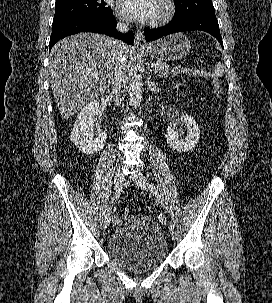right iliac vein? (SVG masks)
Listing matches in <instances>:
<instances>
[{
	"label": "right iliac vein",
	"instance_id": "obj_1",
	"mask_svg": "<svg viewBox=\"0 0 272 303\" xmlns=\"http://www.w3.org/2000/svg\"><path fill=\"white\" fill-rule=\"evenodd\" d=\"M114 181H115V189L117 190L119 187L122 186L123 181H124V175H123L120 167L117 168V170L115 172ZM110 221H111V217L108 215V220L104 221V223H103V228L104 229H107L109 227Z\"/></svg>",
	"mask_w": 272,
	"mask_h": 303
}]
</instances>
